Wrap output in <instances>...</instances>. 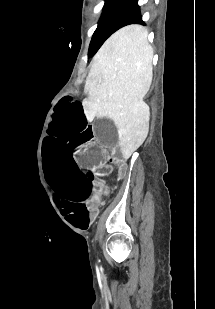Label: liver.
Wrapping results in <instances>:
<instances>
[{"label":"liver","mask_w":215,"mask_h":309,"mask_svg":"<svg viewBox=\"0 0 215 309\" xmlns=\"http://www.w3.org/2000/svg\"><path fill=\"white\" fill-rule=\"evenodd\" d=\"M148 30L129 24L111 34L95 56L86 78V114L114 120L124 159L143 144L149 130V106L143 98L153 76Z\"/></svg>","instance_id":"6515ba94"}]
</instances>
